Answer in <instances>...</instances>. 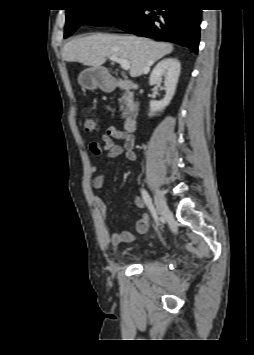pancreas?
I'll return each instance as SVG.
<instances>
[{
    "label": "pancreas",
    "instance_id": "pancreas-1",
    "mask_svg": "<svg viewBox=\"0 0 254 355\" xmlns=\"http://www.w3.org/2000/svg\"><path fill=\"white\" fill-rule=\"evenodd\" d=\"M119 102H120V110H124L125 114H127L133 106V102L130 99V96L128 94H124L122 98L119 99Z\"/></svg>",
    "mask_w": 254,
    "mask_h": 355
}]
</instances>
